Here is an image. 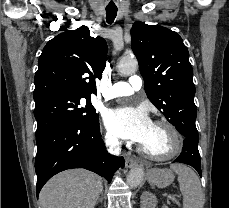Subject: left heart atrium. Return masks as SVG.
<instances>
[{"mask_svg":"<svg viewBox=\"0 0 229 208\" xmlns=\"http://www.w3.org/2000/svg\"><path fill=\"white\" fill-rule=\"evenodd\" d=\"M105 123L113 134L138 142L145 140L153 125L146 110L132 107L110 110Z\"/></svg>","mask_w":229,"mask_h":208,"instance_id":"left-heart-atrium-1","label":"left heart atrium"}]
</instances>
